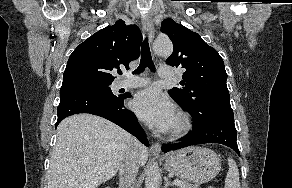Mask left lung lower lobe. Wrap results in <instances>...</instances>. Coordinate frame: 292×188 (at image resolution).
<instances>
[{
    "label": "left lung lower lobe",
    "instance_id": "1",
    "mask_svg": "<svg viewBox=\"0 0 292 188\" xmlns=\"http://www.w3.org/2000/svg\"><path fill=\"white\" fill-rule=\"evenodd\" d=\"M204 143L223 144L239 154L233 111H220L212 114L201 125L194 126L187 138L179 143L163 145L162 151L169 152Z\"/></svg>",
    "mask_w": 292,
    "mask_h": 188
}]
</instances>
